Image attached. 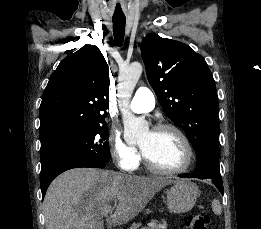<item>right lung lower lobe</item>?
<instances>
[{
	"instance_id": "obj_1",
	"label": "right lung lower lobe",
	"mask_w": 261,
	"mask_h": 229,
	"mask_svg": "<svg viewBox=\"0 0 261 229\" xmlns=\"http://www.w3.org/2000/svg\"><path fill=\"white\" fill-rule=\"evenodd\" d=\"M105 166H106L105 162L85 161V162H77V163L51 166L44 170H41L40 185H41V191H42V200L45 196V193H46V190H47L49 184L52 182V180L54 178H56L62 172L72 169V168H81V167L104 168Z\"/></svg>"
}]
</instances>
